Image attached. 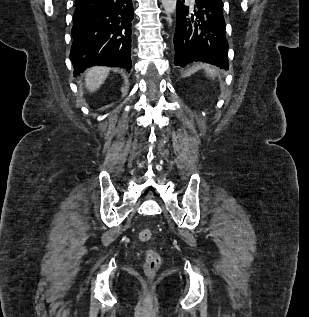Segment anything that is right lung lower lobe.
Here are the masks:
<instances>
[{"instance_id": "right-lung-lower-lobe-1", "label": "right lung lower lobe", "mask_w": 309, "mask_h": 317, "mask_svg": "<svg viewBox=\"0 0 309 317\" xmlns=\"http://www.w3.org/2000/svg\"><path fill=\"white\" fill-rule=\"evenodd\" d=\"M133 18L132 0H76L70 52L74 73L93 65L130 70Z\"/></svg>"}]
</instances>
